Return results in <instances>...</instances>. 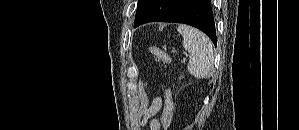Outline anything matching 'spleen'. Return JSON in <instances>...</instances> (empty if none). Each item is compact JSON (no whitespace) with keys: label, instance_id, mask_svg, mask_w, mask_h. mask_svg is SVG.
Here are the masks:
<instances>
[{"label":"spleen","instance_id":"1","mask_svg":"<svg viewBox=\"0 0 299 130\" xmlns=\"http://www.w3.org/2000/svg\"><path fill=\"white\" fill-rule=\"evenodd\" d=\"M178 32L183 37V47L190 53L188 72L197 79L209 77L214 62L211 40L201 31L187 25H179Z\"/></svg>","mask_w":299,"mask_h":130}]
</instances>
